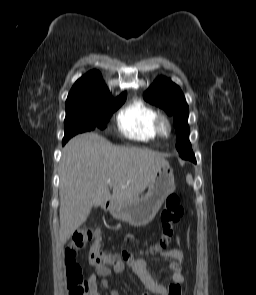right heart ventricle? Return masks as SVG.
I'll use <instances>...</instances> for the list:
<instances>
[{
  "instance_id": "1",
  "label": "right heart ventricle",
  "mask_w": 256,
  "mask_h": 295,
  "mask_svg": "<svg viewBox=\"0 0 256 295\" xmlns=\"http://www.w3.org/2000/svg\"><path fill=\"white\" fill-rule=\"evenodd\" d=\"M158 113L142 100L126 106L117 116L120 131L128 138L150 141L157 136L156 120Z\"/></svg>"
}]
</instances>
